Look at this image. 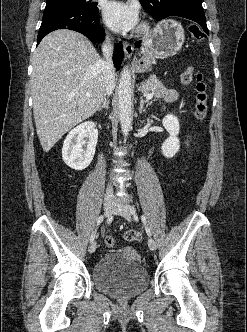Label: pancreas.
<instances>
[{
    "instance_id": "obj_1",
    "label": "pancreas",
    "mask_w": 247,
    "mask_h": 332,
    "mask_svg": "<svg viewBox=\"0 0 247 332\" xmlns=\"http://www.w3.org/2000/svg\"><path fill=\"white\" fill-rule=\"evenodd\" d=\"M138 89L145 94L152 93L154 99L166 97L169 93L156 76H151L148 80L142 82Z\"/></svg>"
}]
</instances>
